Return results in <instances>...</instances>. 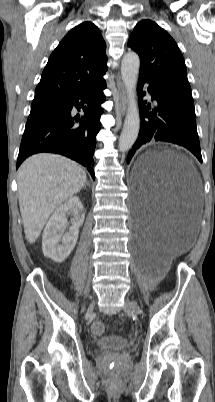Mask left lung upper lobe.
Listing matches in <instances>:
<instances>
[{
  "mask_svg": "<svg viewBox=\"0 0 215 402\" xmlns=\"http://www.w3.org/2000/svg\"><path fill=\"white\" fill-rule=\"evenodd\" d=\"M128 46L140 57L139 74L146 75L176 97L193 103L184 58L173 38L151 20L136 24Z\"/></svg>",
  "mask_w": 215,
  "mask_h": 402,
  "instance_id": "obj_1",
  "label": "left lung upper lobe"
}]
</instances>
